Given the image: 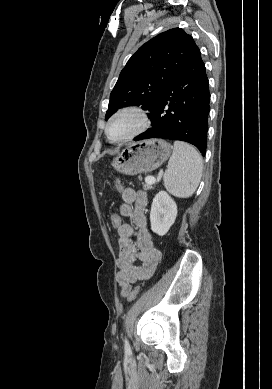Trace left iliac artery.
I'll return each instance as SVG.
<instances>
[{"label":"left iliac artery","mask_w":272,"mask_h":389,"mask_svg":"<svg viewBox=\"0 0 272 389\" xmlns=\"http://www.w3.org/2000/svg\"><path fill=\"white\" fill-rule=\"evenodd\" d=\"M124 347H125V352L130 354L131 353V347H130L129 342H128V340L126 338L124 340Z\"/></svg>","instance_id":"left-iliac-artery-1"}]
</instances>
